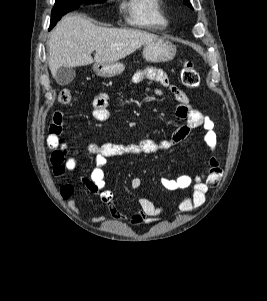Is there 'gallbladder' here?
<instances>
[{
    "label": "gallbladder",
    "mask_w": 267,
    "mask_h": 301,
    "mask_svg": "<svg viewBox=\"0 0 267 301\" xmlns=\"http://www.w3.org/2000/svg\"><path fill=\"white\" fill-rule=\"evenodd\" d=\"M75 77V70L70 67L61 66L57 69L55 80L61 85L65 86L72 82Z\"/></svg>",
    "instance_id": "obj_1"
}]
</instances>
